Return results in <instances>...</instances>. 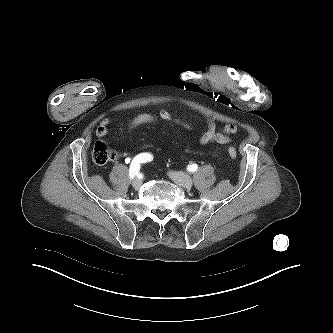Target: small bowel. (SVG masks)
I'll return each instance as SVG.
<instances>
[{
    "label": "small bowel",
    "mask_w": 333,
    "mask_h": 333,
    "mask_svg": "<svg viewBox=\"0 0 333 333\" xmlns=\"http://www.w3.org/2000/svg\"><path fill=\"white\" fill-rule=\"evenodd\" d=\"M159 116L166 122L172 123L176 126H179L185 130H192L194 128L193 124L178 118L171 112L167 110H161ZM112 118H104L100 122L96 130V135L99 138H102L106 135L108 126L112 123ZM205 123V132L202 134L200 138V144L202 146H208L210 144H220L223 146H227L230 144L231 139L230 135H234L237 133L238 128L234 124H227L221 130H217L216 122L213 118L209 116L204 117Z\"/></svg>",
    "instance_id": "c3829d8e"
}]
</instances>
